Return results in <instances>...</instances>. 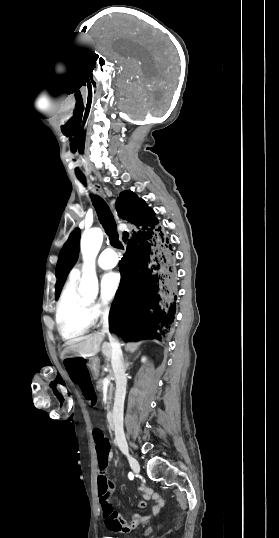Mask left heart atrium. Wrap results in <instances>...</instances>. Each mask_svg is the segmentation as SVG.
I'll return each instance as SVG.
<instances>
[{
	"instance_id": "obj_1",
	"label": "left heart atrium",
	"mask_w": 279,
	"mask_h": 538,
	"mask_svg": "<svg viewBox=\"0 0 279 538\" xmlns=\"http://www.w3.org/2000/svg\"><path fill=\"white\" fill-rule=\"evenodd\" d=\"M120 284V276L116 272L107 273L102 278V292L107 299L112 298Z\"/></svg>"
}]
</instances>
